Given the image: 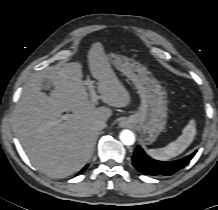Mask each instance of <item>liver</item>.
<instances>
[{
  "label": "liver",
  "instance_id": "1",
  "mask_svg": "<svg viewBox=\"0 0 218 210\" xmlns=\"http://www.w3.org/2000/svg\"><path fill=\"white\" fill-rule=\"evenodd\" d=\"M88 63L103 103L128 106L129 92L116 76L101 43L90 48ZM45 79L54 87L50 96L41 92ZM66 111H71L72 117L62 120ZM111 115L110 108L96 107L89 99L82 65L67 63L49 67L26 82L15 108L14 126L32 164L52 178H64L89 161L99 134L95 123L107 121Z\"/></svg>",
  "mask_w": 218,
  "mask_h": 210
}]
</instances>
